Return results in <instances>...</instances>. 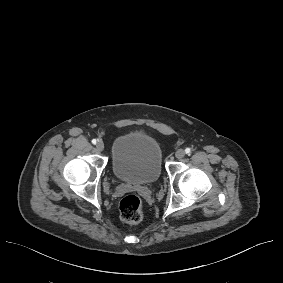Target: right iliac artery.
Listing matches in <instances>:
<instances>
[{"mask_svg":"<svg viewBox=\"0 0 283 283\" xmlns=\"http://www.w3.org/2000/svg\"><path fill=\"white\" fill-rule=\"evenodd\" d=\"M92 143H93V144H96V143H97V140H96V139H93V140H92Z\"/></svg>","mask_w":283,"mask_h":283,"instance_id":"82829eb1","label":"right iliac artery"}]
</instances>
